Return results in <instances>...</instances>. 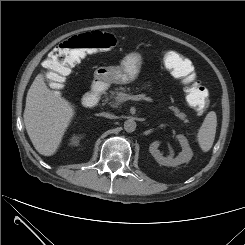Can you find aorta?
Here are the masks:
<instances>
[{
	"label": "aorta",
	"mask_w": 245,
	"mask_h": 245,
	"mask_svg": "<svg viewBox=\"0 0 245 245\" xmlns=\"http://www.w3.org/2000/svg\"><path fill=\"white\" fill-rule=\"evenodd\" d=\"M136 126V122L133 119H128L124 122V129L128 133L134 132Z\"/></svg>",
	"instance_id": "obj_1"
}]
</instances>
